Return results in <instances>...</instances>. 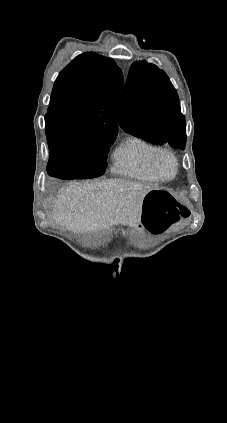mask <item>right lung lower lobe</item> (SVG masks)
Instances as JSON below:
<instances>
[{"instance_id":"right-lung-lower-lobe-1","label":"right lung lower lobe","mask_w":227,"mask_h":423,"mask_svg":"<svg viewBox=\"0 0 227 423\" xmlns=\"http://www.w3.org/2000/svg\"><path fill=\"white\" fill-rule=\"evenodd\" d=\"M47 171L50 176L63 180H69L73 168L62 163H48Z\"/></svg>"}]
</instances>
